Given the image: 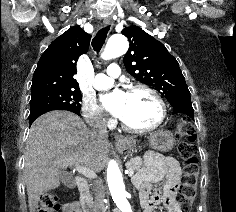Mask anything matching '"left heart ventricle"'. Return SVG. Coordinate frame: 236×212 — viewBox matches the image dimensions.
<instances>
[{"mask_svg": "<svg viewBox=\"0 0 236 212\" xmlns=\"http://www.w3.org/2000/svg\"><path fill=\"white\" fill-rule=\"evenodd\" d=\"M159 114V105L150 94L145 91H134L127 93L121 119L131 127L144 128L152 125Z\"/></svg>", "mask_w": 236, "mask_h": 212, "instance_id": "left-heart-ventricle-1", "label": "left heart ventricle"}]
</instances>
